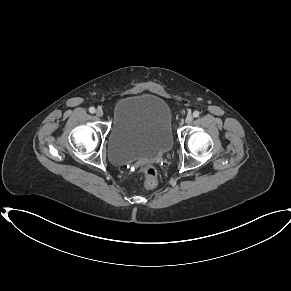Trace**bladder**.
<instances>
[{
  "label": "bladder",
  "instance_id": "31cf9c89",
  "mask_svg": "<svg viewBox=\"0 0 291 291\" xmlns=\"http://www.w3.org/2000/svg\"><path fill=\"white\" fill-rule=\"evenodd\" d=\"M172 112L155 94L138 93L121 98L113 107L107 140L108 158L116 166L150 159L173 145Z\"/></svg>",
  "mask_w": 291,
  "mask_h": 291
}]
</instances>
